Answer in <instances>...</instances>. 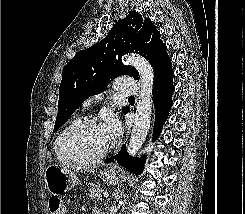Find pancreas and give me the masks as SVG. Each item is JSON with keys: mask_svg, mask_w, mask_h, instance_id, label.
<instances>
[{"mask_svg": "<svg viewBox=\"0 0 245 214\" xmlns=\"http://www.w3.org/2000/svg\"><path fill=\"white\" fill-rule=\"evenodd\" d=\"M102 192L103 190L101 189L100 186L98 185H92L91 188L89 189V198L94 201H99L102 200Z\"/></svg>", "mask_w": 245, "mask_h": 214, "instance_id": "obj_1", "label": "pancreas"}]
</instances>
